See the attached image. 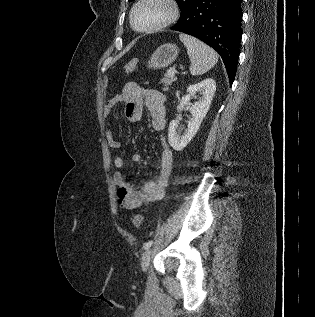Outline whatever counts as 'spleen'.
Wrapping results in <instances>:
<instances>
[{"label":"spleen","mask_w":315,"mask_h":317,"mask_svg":"<svg viewBox=\"0 0 315 317\" xmlns=\"http://www.w3.org/2000/svg\"><path fill=\"white\" fill-rule=\"evenodd\" d=\"M179 38L186 46L191 61L190 73L193 76L206 73L217 63V53L199 39L184 33Z\"/></svg>","instance_id":"spleen-1"}]
</instances>
